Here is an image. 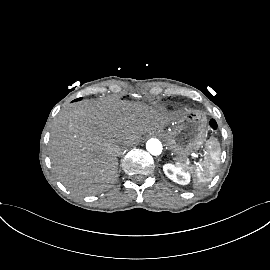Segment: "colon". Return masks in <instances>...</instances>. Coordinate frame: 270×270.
<instances>
[{"label": "colon", "mask_w": 270, "mask_h": 270, "mask_svg": "<svg viewBox=\"0 0 270 270\" xmlns=\"http://www.w3.org/2000/svg\"><path fill=\"white\" fill-rule=\"evenodd\" d=\"M210 127H211V129H213V130H215V129L217 128V124H216V122H215L214 120H211V121H210Z\"/></svg>", "instance_id": "obj_1"}]
</instances>
